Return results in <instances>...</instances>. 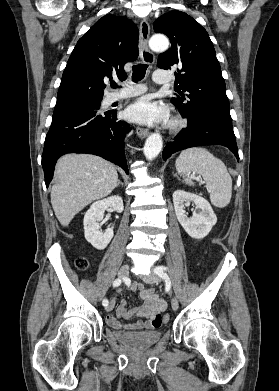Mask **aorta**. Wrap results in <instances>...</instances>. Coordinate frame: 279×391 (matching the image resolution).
I'll list each match as a JSON object with an SVG mask.
<instances>
[{"mask_svg": "<svg viewBox=\"0 0 279 391\" xmlns=\"http://www.w3.org/2000/svg\"><path fill=\"white\" fill-rule=\"evenodd\" d=\"M149 46L154 51H165L169 46L168 39L163 35H154L149 41ZM163 147L162 137L158 133L151 134L144 145L143 152L147 160L155 159Z\"/></svg>", "mask_w": 279, "mask_h": 391, "instance_id": "obj_1", "label": "aorta"}]
</instances>
